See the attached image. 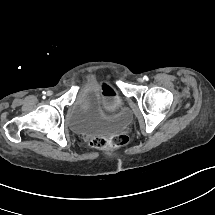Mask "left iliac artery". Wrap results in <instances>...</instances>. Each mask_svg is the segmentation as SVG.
<instances>
[{
    "label": "left iliac artery",
    "instance_id": "44dca946",
    "mask_svg": "<svg viewBox=\"0 0 215 215\" xmlns=\"http://www.w3.org/2000/svg\"><path fill=\"white\" fill-rule=\"evenodd\" d=\"M143 79L147 81V80H148V77H147V76H144Z\"/></svg>",
    "mask_w": 215,
    "mask_h": 215
}]
</instances>
